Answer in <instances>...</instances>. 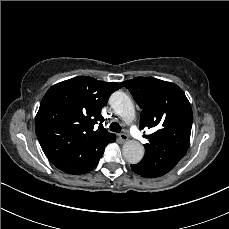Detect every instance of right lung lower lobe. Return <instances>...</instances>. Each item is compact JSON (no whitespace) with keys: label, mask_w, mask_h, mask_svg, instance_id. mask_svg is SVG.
I'll use <instances>...</instances> for the list:
<instances>
[{"label":"right lung lower lobe","mask_w":229,"mask_h":229,"mask_svg":"<svg viewBox=\"0 0 229 229\" xmlns=\"http://www.w3.org/2000/svg\"><path fill=\"white\" fill-rule=\"evenodd\" d=\"M103 153H104V149L98 154V156L96 157V159L85 170H83L80 174H83V173H85L87 171L92 170L96 166V164L99 162V159L101 158V156L103 155Z\"/></svg>","instance_id":"obj_1"}]
</instances>
